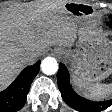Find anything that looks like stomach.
<instances>
[{
    "label": "stomach",
    "mask_w": 112,
    "mask_h": 112,
    "mask_svg": "<svg viewBox=\"0 0 112 112\" xmlns=\"http://www.w3.org/2000/svg\"><path fill=\"white\" fill-rule=\"evenodd\" d=\"M64 8L71 16L79 20L90 17L94 11L90 5L75 0H69L65 3ZM84 36V38L79 39L81 46L88 42L91 44V49H84L80 53L83 58L75 57L78 52L75 54L68 51L63 53L65 56L74 57V73L79 76L80 80L87 84L99 82L112 73V48H109L106 42L92 43L93 35L90 32H86Z\"/></svg>",
    "instance_id": "stomach-1"
}]
</instances>
